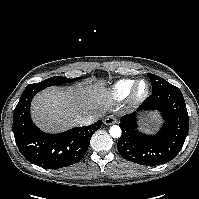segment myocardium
<instances>
[{
  "label": "myocardium",
  "instance_id": "1",
  "mask_svg": "<svg viewBox=\"0 0 199 199\" xmlns=\"http://www.w3.org/2000/svg\"><path fill=\"white\" fill-rule=\"evenodd\" d=\"M142 82L146 84V89L142 93H139L138 87ZM149 94H150V84L147 80L141 78L134 82L131 92L128 96V101L133 105H138L144 102L148 98Z\"/></svg>",
  "mask_w": 199,
  "mask_h": 199
}]
</instances>
